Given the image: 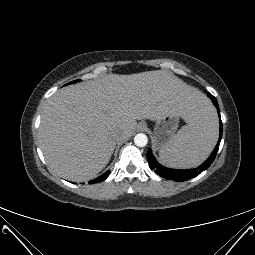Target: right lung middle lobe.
<instances>
[{"mask_svg":"<svg viewBox=\"0 0 255 255\" xmlns=\"http://www.w3.org/2000/svg\"><path fill=\"white\" fill-rule=\"evenodd\" d=\"M78 81H80V80H75V81H72V82H70V83H68V84H73V83H76V82H78ZM68 84H66V85H68Z\"/></svg>","mask_w":255,"mask_h":255,"instance_id":"dd1d6c3e","label":"right lung middle lobe"}]
</instances>
